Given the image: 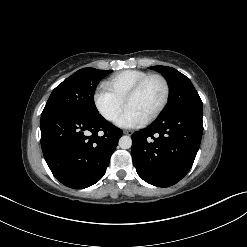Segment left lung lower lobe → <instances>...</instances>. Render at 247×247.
Instances as JSON below:
<instances>
[{"label":"left lung lower lobe","instance_id":"left-lung-lower-lobe-1","mask_svg":"<svg viewBox=\"0 0 247 247\" xmlns=\"http://www.w3.org/2000/svg\"><path fill=\"white\" fill-rule=\"evenodd\" d=\"M203 133L202 108H186L159 117L132 135V158L147 183L168 187L191 169Z\"/></svg>","mask_w":247,"mask_h":247}]
</instances>
